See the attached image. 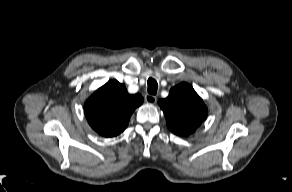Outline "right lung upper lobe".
<instances>
[{
    "label": "right lung upper lobe",
    "mask_w": 292,
    "mask_h": 192,
    "mask_svg": "<svg viewBox=\"0 0 292 192\" xmlns=\"http://www.w3.org/2000/svg\"><path fill=\"white\" fill-rule=\"evenodd\" d=\"M142 103L140 94L130 95L124 84L111 80L88 98L84 112L92 129L114 137L125 130L133 111Z\"/></svg>",
    "instance_id": "right-lung-upper-lobe-1"
}]
</instances>
